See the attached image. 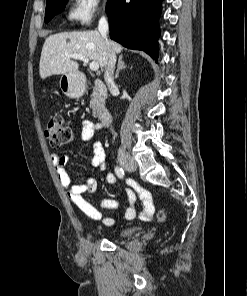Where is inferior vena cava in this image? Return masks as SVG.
I'll return each mask as SVG.
<instances>
[{"label":"inferior vena cava","mask_w":247,"mask_h":296,"mask_svg":"<svg viewBox=\"0 0 247 296\" xmlns=\"http://www.w3.org/2000/svg\"><path fill=\"white\" fill-rule=\"evenodd\" d=\"M98 30L101 36L105 39L106 44L109 45V41L107 38L109 25L106 17L103 16L99 20ZM115 63H116V55L114 52L110 50L108 54V60L105 68V74H104L105 82L110 89L115 87L114 78H113Z\"/></svg>","instance_id":"obj_1"}]
</instances>
